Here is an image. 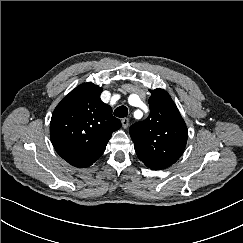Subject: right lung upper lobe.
<instances>
[{
  "label": "right lung upper lobe",
  "mask_w": 243,
  "mask_h": 243,
  "mask_svg": "<svg viewBox=\"0 0 243 243\" xmlns=\"http://www.w3.org/2000/svg\"><path fill=\"white\" fill-rule=\"evenodd\" d=\"M102 88L91 82L71 91L55 108L50 137L56 152L76 167L92 165L121 127L112 109L100 99Z\"/></svg>",
  "instance_id": "1"
}]
</instances>
